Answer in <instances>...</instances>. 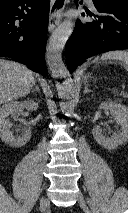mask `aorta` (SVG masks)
<instances>
[{"label":"aorta","instance_id":"obj_1","mask_svg":"<svg viewBox=\"0 0 128 213\" xmlns=\"http://www.w3.org/2000/svg\"><path fill=\"white\" fill-rule=\"evenodd\" d=\"M72 19L64 20L52 33L46 47V61L53 78L64 79L57 83L58 96L61 99L60 108L65 114L73 112L74 106L71 102L74 97V85L70 74L62 60V51L72 32Z\"/></svg>","mask_w":128,"mask_h":213}]
</instances>
